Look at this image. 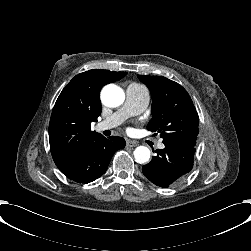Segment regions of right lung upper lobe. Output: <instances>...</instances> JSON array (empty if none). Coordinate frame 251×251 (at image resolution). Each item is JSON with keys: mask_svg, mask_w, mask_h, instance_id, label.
<instances>
[{"mask_svg": "<svg viewBox=\"0 0 251 251\" xmlns=\"http://www.w3.org/2000/svg\"><path fill=\"white\" fill-rule=\"evenodd\" d=\"M127 72L89 70L76 75L59 95L49 123L53 160L60 167L81 154L101 134L91 123L101 114V88L125 77Z\"/></svg>", "mask_w": 251, "mask_h": 251, "instance_id": "1", "label": "right lung upper lobe"}]
</instances>
